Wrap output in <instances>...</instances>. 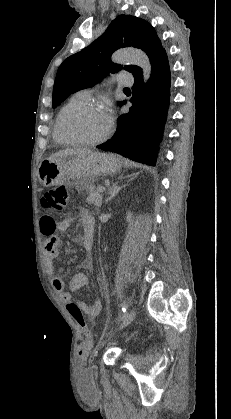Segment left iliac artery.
I'll use <instances>...</instances> for the list:
<instances>
[{"mask_svg":"<svg viewBox=\"0 0 231 419\" xmlns=\"http://www.w3.org/2000/svg\"><path fill=\"white\" fill-rule=\"evenodd\" d=\"M121 309H122V312L123 313H125L126 311H127V309H128V304H127V302H122V304H121Z\"/></svg>","mask_w":231,"mask_h":419,"instance_id":"obj_1","label":"left iliac artery"}]
</instances>
